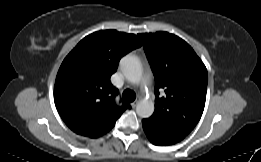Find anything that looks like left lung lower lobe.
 Returning a JSON list of instances; mask_svg holds the SVG:
<instances>
[{
    "instance_id": "left-lung-lower-lobe-1",
    "label": "left lung lower lobe",
    "mask_w": 261,
    "mask_h": 162,
    "mask_svg": "<svg viewBox=\"0 0 261 162\" xmlns=\"http://www.w3.org/2000/svg\"><path fill=\"white\" fill-rule=\"evenodd\" d=\"M143 130L147 138L157 146L173 145L185 138V134L167 128L156 121L147 118L142 120Z\"/></svg>"
}]
</instances>
